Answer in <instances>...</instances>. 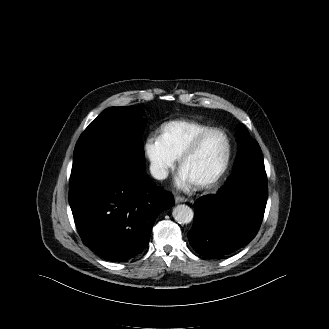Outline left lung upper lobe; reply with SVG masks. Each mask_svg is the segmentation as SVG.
<instances>
[{
	"instance_id": "obj_1",
	"label": "left lung upper lobe",
	"mask_w": 329,
	"mask_h": 329,
	"mask_svg": "<svg viewBox=\"0 0 329 329\" xmlns=\"http://www.w3.org/2000/svg\"><path fill=\"white\" fill-rule=\"evenodd\" d=\"M240 151L237 160L242 161L244 169L264 167V161L259 144L245 128L239 131ZM236 160V161H237Z\"/></svg>"
}]
</instances>
